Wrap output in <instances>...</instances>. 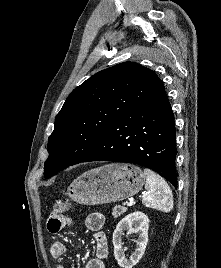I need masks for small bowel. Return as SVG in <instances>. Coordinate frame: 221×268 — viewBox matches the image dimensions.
I'll list each match as a JSON object with an SVG mask.
<instances>
[{
    "label": "small bowel",
    "instance_id": "small-bowel-1",
    "mask_svg": "<svg viewBox=\"0 0 221 268\" xmlns=\"http://www.w3.org/2000/svg\"><path fill=\"white\" fill-rule=\"evenodd\" d=\"M70 224V219L64 215L51 214L47 220V229L52 234H57ZM105 224V216L102 213L94 212L84 219V225L93 232L96 243L95 257L89 260L83 268H106L105 259L108 256L109 246L106 234L102 231ZM49 251L53 258L59 259L65 255L67 248L63 242L52 241ZM56 268H65L58 264Z\"/></svg>",
    "mask_w": 221,
    "mask_h": 268
}]
</instances>
